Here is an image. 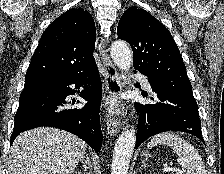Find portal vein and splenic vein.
Segmentation results:
<instances>
[{
    "mask_svg": "<svg viewBox=\"0 0 224 174\" xmlns=\"http://www.w3.org/2000/svg\"><path fill=\"white\" fill-rule=\"evenodd\" d=\"M171 171H175L178 172L179 174H182L183 171L179 170V169H175L169 166L164 167L163 172H171Z\"/></svg>",
    "mask_w": 224,
    "mask_h": 174,
    "instance_id": "18ae733b",
    "label": "portal vein and splenic vein"
}]
</instances>
